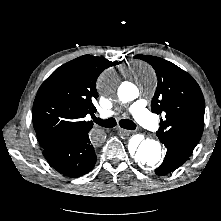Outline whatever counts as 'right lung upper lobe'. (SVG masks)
<instances>
[{
	"label": "right lung upper lobe",
	"mask_w": 221,
	"mask_h": 221,
	"mask_svg": "<svg viewBox=\"0 0 221 221\" xmlns=\"http://www.w3.org/2000/svg\"><path fill=\"white\" fill-rule=\"evenodd\" d=\"M121 62L83 55L57 68L39 88L33 104V125L43 149L89 133L96 112V81L103 70Z\"/></svg>",
	"instance_id": "1"
}]
</instances>
